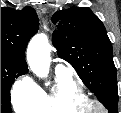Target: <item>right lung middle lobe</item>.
<instances>
[{
    "label": "right lung middle lobe",
    "instance_id": "obj_1",
    "mask_svg": "<svg viewBox=\"0 0 121 113\" xmlns=\"http://www.w3.org/2000/svg\"><path fill=\"white\" fill-rule=\"evenodd\" d=\"M24 67L6 58H1V113H11L10 88L20 75L26 74Z\"/></svg>",
    "mask_w": 121,
    "mask_h": 113
}]
</instances>
